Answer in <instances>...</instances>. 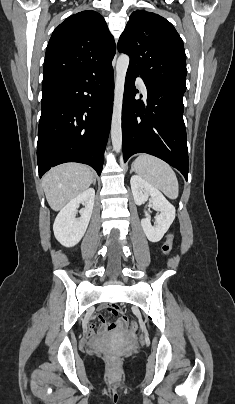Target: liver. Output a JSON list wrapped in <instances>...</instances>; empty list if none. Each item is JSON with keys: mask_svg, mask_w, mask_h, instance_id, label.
<instances>
[{"mask_svg": "<svg viewBox=\"0 0 235 404\" xmlns=\"http://www.w3.org/2000/svg\"><path fill=\"white\" fill-rule=\"evenodd\" d=\"M91 169L79 163H65L50 169L42 178L47 202L54 211L87 190L93 183Z\"/></svg>", "mask_w": 235, "mask_h": 404, "instance_id": "liver-1", "label": "liver"}]
</instances>
